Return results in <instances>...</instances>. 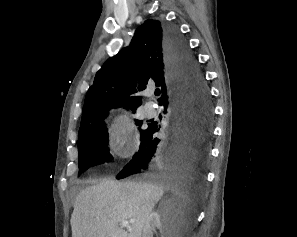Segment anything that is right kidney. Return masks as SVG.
I'll return each instance as SVG.
<instances>
[{
    "instance_id": "right-kidney-1",
    "label": "right kidney",
    "mask_w": 297,
    "mask_h": 237,
    "mask_svg": "<svg viewBox=\"0 0 297 237\" xmlns=\"http://www.w3.org/2000/svg\"><path fill=\"white\" fill-rule=\"evenodd\" d=\"M155 228L160 229L163 232V237H171V233L167 231L166 226L162 222V218L159 212H152L144 225L142 237H153V231Z\"/></svg>"
}]
</instances>
